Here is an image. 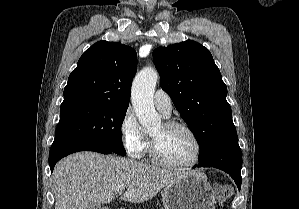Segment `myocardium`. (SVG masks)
<instances>
[{"mask_svg": "<svg viewBox=\"0 0 299 209\" xmlns=\"http://www.w3.org/2000/svg\"><path fill=\"white\" fill-rule=\"evenodd\" d=\"M163 125L166 129L172 130V129H182L185 132H187L191 138L193 139L195 143V154L194 157L187 163H172L164 159L161 154L159 153L158 146L156 144V141L154 138L150 135V142H149V156L151 160L162 167L165 168H171V169H188L193 166H195L202 154V144L201 141L196 134V132L187 124L180 122V121H175V120H167L163 122Z\"/></svg>", "mask_w": 299, "mask_h": 209, "instance_id": "1", "label": "myocardium"}]
</instances>
